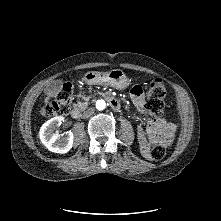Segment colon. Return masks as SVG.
<instances>
[{
  "label": "colon",
  "mask_w": 221,
  "mask_h": 221,
  "mask_svg": "<svg viewBox=\"0 0 221 221\" xmlns=\"http://www.w3.org/2000/svg\"><path fill=\"white\" fill-rule=\"evenodd\" d=\"M166 96V88L161 79H153L148 87L147 92V109L154 115H159L163 112ZM72 88L66 85L58 93L55 101L45 105L41 113L45 117H53L66 115L71 109L72 103ZM166 154L165 143H158L149 150V157L154 160L162 159Z\"/></svg>",
  "instance_id": "5ec220e1"
}]
</instances>
